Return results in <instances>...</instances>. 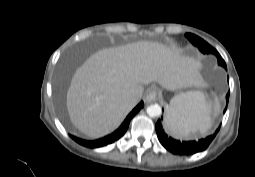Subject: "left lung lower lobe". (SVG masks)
I'll return each instance as SVG.
<instances>
[{
	"instance_id": "1",
	"label": "left lung lower lobe",
	"mask_w": 255,
	"mask_h": 177,
	"mask_svg": "<svg viewBox=\"0 0 255 177\" xmlns=\"http://www.w3.org/2000/svg\"><path fill=\"white\" fill-rule=\"evenodd\" d=\"M229 93L230 92H228L226 95L227 105L229 101ZM227 105L224 109V113L226 112ZM162 119L163 118L161 117V119H159L155 125L158 139L160 143L168 151H170L171 153L175 155H192L197 152L204 151L212 142V140L215 138V136L217 135L220 129V127H218V129L215 131L213 135L200 139L199 141H179L172 138L171 136L167 135L164 132L162 128V124H161Z\"/></svg>"
}]
</instances>
